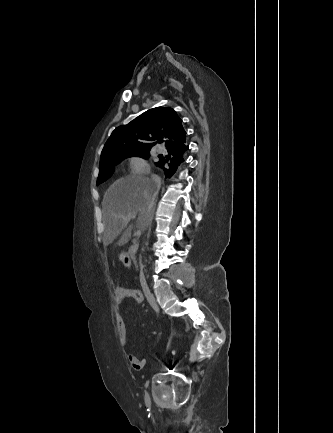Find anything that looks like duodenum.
<instances>
[{
	"mask_svg": "<svg viewBox=\"0 0 333 433\" xmlns=\"http://www.w3.org/2000/svg\"><path fill=\"white\" fill-rule=\"evenodd\" d=\"M135 249H136V244H131L130 248H129V251H130L129 252V258H133L132 259L133 263H138V258H134Z\"/></svg>",
	"mask_w": 333,
	"mask_h": 433,
	"instance_id": "duodenum-1",
	"label": "duodenum"
}]
</instances>
